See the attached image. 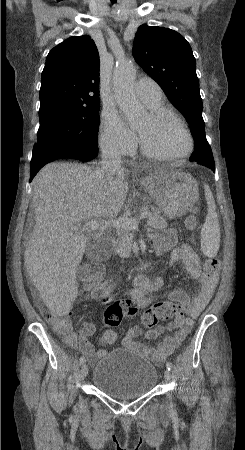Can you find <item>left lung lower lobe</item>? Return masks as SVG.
Returning <instances> with one entry per match:
<instances>
[{
	"instance_id": "left-lung-lower-lobe-1",
	"label": "left lung lower lobe",
	"mask_w": 245,
	"mask_h": 450,
	"mask_svg": "<svg viewBox=\"0 0 245 450\" xmlns=\"http://www.w3.org/2000/svg\"><path fill=\"white\" fill-rule=\"evenodd\" d=\"M200 152H202V153H200ZM202 155H206L209 159L207 161L201 162V164L209 167L210 169H212L215 172V163H214L212 150L209 147H207V148L200 147L199 152L195 153V156H202ZM197 159L200 160L199 158H197Z\"/></svg>"
}]
</instances>
